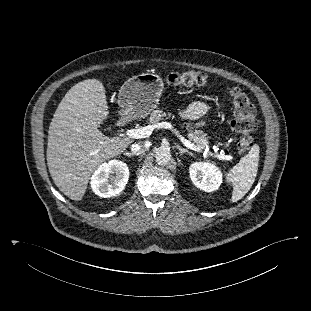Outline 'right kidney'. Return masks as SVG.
<instances>
[{"label":"right kidney","instance_id":"1","mask_svg":"<svg viewBox=\"0 0 311 311\" xmlns=\"http://www.w3.org/2000/svg\"><path fill=\"white\" fill-rule=\"evenodd\" d=\"M128 179V166L115 159L101 164L92 175L90 184L96 195L107 198L122 192Z\"/></svg>","mask_w":311,"mask_h":311}]
</instances>
